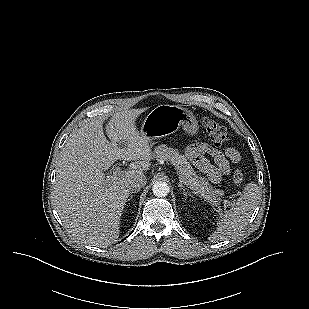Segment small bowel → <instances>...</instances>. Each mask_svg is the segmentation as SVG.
Segmentation results:
<instances>
[{
  "instance_id": "obj_1",
  "label": "small bowel",
  "mask_w": 309,
  "mask_h": 309,
  "mask_svg": "<svg viewBox=\"0 0 309 309\" xmlns=\"http://www.w3.org/2000/svg\"><path fill=\"white\" fill-rule=\"evenodd\" d=\"M204 153L213 157L215 166L202 159ZM188 155L214 184L220 183L224 176H228L231 172V164H236L241 159L240 152L234 147L228 146L221 151L204 143L190 147Z\"/></svg>"
}]
</instances>
